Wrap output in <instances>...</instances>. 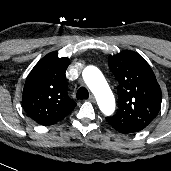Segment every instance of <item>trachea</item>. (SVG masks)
<instances>
[{
	"label": "trachea",
	"mask_w": 171,
	"mask_h": 171,
	"mask_svg": "<svg viewBox=\"0 0 171 171\" xmlns=\"http://www.w3.org/2000/svg\"><path fill=\"white\" fill-rule=\"evenodd\" d=\"M77 99H86L89 97V92L85 87H80L76 94Z\"/></svg>",
	"instance_id": "1"
}]
</instances>
